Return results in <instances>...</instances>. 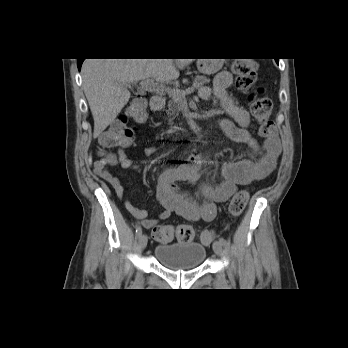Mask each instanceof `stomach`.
Listing matches in <instances>:
<instances>
[{
  "instance_id": "stomach-1",
  "label": "stomach",
  "mask_w": 348,
  "mask_h": 348,
  "mask_svg": "<svg viewBox=\"0 0 348 348\" xmlns=\"http://www.w3.org/2000/svg\"><path fill=\"white\" fill-rule=\"evenodd\" d=\"M223 59H198L197 68L200 73L211 75L218 72L223 66Z\"/></svg>"
}]
</instances>
